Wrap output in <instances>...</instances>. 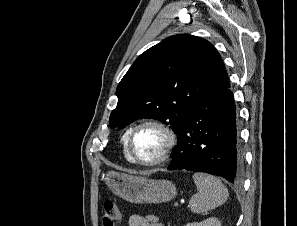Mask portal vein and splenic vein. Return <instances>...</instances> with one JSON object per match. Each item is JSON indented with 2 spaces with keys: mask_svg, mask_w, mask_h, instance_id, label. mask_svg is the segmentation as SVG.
I'll use <instances>...</instances> for the list:
<instances>
[{
  "mask_svg": "<svg viewBox=\"0 0 297 226\" xmlns=\"http://www.w3.org/2000/svg\"><path fill=\"white\" fill-rule=\"evenodd\" d=\"M174 206H175V207H179V203H178V202H175V203H174Z\"/></svg>",
  "mask_w": 297,
  "mask_h": 226,
  "instance_id": "1",
  "label": "portal vein and splenic vein"
}]
</instances>
